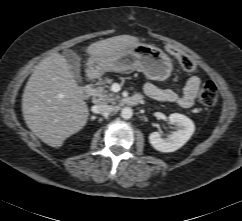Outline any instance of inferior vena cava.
Wrapping results in <instances>:
<instances>
[{"mask_svg": "<svg viewBox=\"0 0 242 221\" xmlns=\"http://www.w3.org/2000/svg\"><path fill=\"white\" fill-rule=\"evenodd\" d=\"M115 110V107L112 105H107V104H100L97 105V113L107 116L111 114Z\"/></svg>", "mask_w": 242, "mask_h": 221, "instance_id": "inferior-vena-cava-1", "label": "inferior vena cava"}]
</instances>
